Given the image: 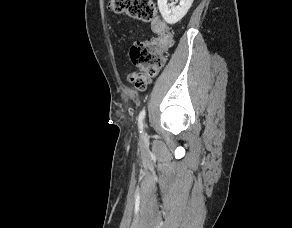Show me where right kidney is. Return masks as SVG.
<instances>
[{"instance_id":"ca27d5eb","label":"right kidney","mask_w":292,"mask_h":228,"mask_svg":"<svg viewBox=\"0 0 292 228\" xmlns=\"http://www.w3.org/2000/svg\"><path fill=\"white\" fill-rule=\"evenodd\" d=\"M168 0H158V8L163 19L168 24H175L180 21L190 9L194 0H180L179 5L176 7H168Z\"/></svg>"}]
</instances>
